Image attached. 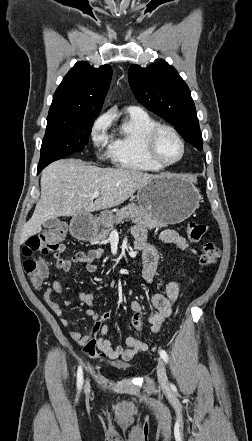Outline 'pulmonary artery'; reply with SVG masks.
I'll list each match as a JSON object with an SVG mask.
<instances>
[{"label":"pulmonary artery","instance_id":"e3ab8cb5","mask_svg":"<svg viewBox=\"0 0 252 441\" xmlns=\"http://www.w3.org/2000/svg\"><path fill=\"white\" fill-rule=\"evenodd\" d=\"M127 110H129V111H142V109L138 106H129V107H127Z\"/></svg>","mask_w":252,"mask_h":441}]
</instances>
